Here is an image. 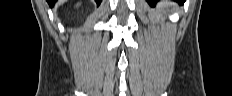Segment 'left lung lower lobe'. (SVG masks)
I'll return each mask as SVG.
<instances>
[{"label": "left lung lower lobe", "instance_id": "left-lung-lower-lobe-1", "mask_svg": "<svg viewBox=\"0 0 232 96\" xmlns=\"http://www.w3.org/2000/svg\"><path fill=\"white\" fill-rule=\"evenodd\" d=\"M158 0H147V2L151 5L154 6ZM179 2L180 4L184 3L185 0H175Z\"/></svg>", "mask_w": 232, "mask_h": 96}]
</instances>
